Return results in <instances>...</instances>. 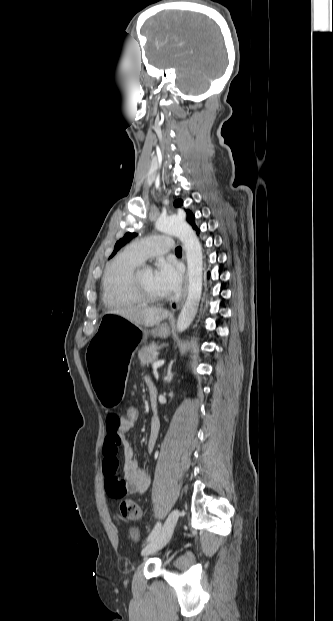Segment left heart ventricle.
<instances>
[{
	"instance_id": "obj_1",
	"label": "left heart ventricle",
	"mask_w": 333,
	"mask_h": 621,
	"mask_svg": "<svg viewBox=\"0 0 333 621\" xmlns=\"http://www.w3.org/2000/svg\"><path fill=\"white\" fill-rule=\"evenodd\" d=\"M142 287L152 296L164 297L166 293L158 285L154 278V271L150 269H144L140 276Z\"/></svg>"
}]
</instances>
